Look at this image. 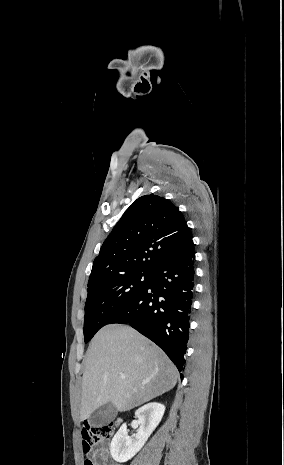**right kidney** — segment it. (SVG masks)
I'll return each mask as SVG.
<instances>
[{
    "label": "right kidney",
    "mask_w": 284,
    "mask_h": 465,
    "mask_svg": "<svg viewBox=\"0 0 284 465\" xmlns=\"http://www.w3.org/2000/svg\"><path fill=\"white\" fill-rule=\"evenodd\" d=\"M164 411L165 407L161 403H148V405L140 407L135 413L139 425L138 433L133 437H129L127 425L124 423L111 441L110 451L114 461L126 463L129 459H132L142 449L154 429L159 425Z\"/></svg>",
    "instance_id": "obj_1"
}]
</instances>
